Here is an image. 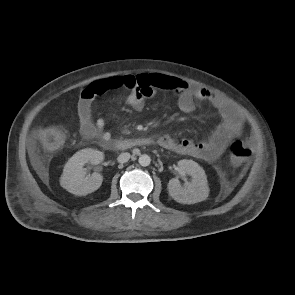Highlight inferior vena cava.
I'll return each instance as SVG.
<instances>
[{
	"label": "inferior vena cava",
	"instance_id": "inferior-vena-cava-1",
	"mask_svg": "<svg viewBox=\"0 0 295 295\" xmlns=\"http://www.w3.org/2000/svg\"><path fill=\"white\" fill-rule=\"evenodd\" d=\"M130 159V153L125 152V153H121L118 158L117 161L119 163H126L128 160Z\"/></svg>",
	"mask_w": 295,
	"mask_h": 295
}]
</instances>
